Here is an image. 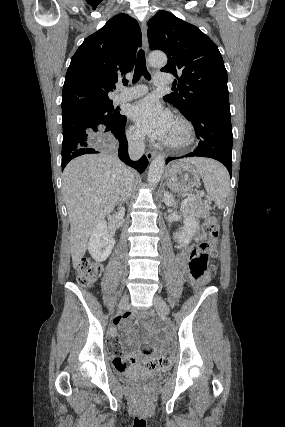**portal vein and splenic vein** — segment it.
I'll list each match as a JSON object with an SVG mask.
<instances>
[{"mask_svg": "<svg viewBox=\"0 0 285 427\" xmlns=\"http://www.w3.org/2000/svg\"><path fill=\"white\" fill-rule=\"evenodd\" d=\"M203 195H204V192H201L199 197H197V196H194V197H188V198L186 199V201H187V202H189V201L196 200L197 198H201Z\"/></svg>", "mask_w": 285, "mask_h": 427, "instance_id": "obj_1", "label": "portal vein and splenic vein"}]
</instances>
